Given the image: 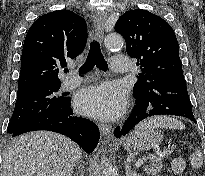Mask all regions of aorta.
Segmentation results:
<instances>
[{
  "label": "aorta",
  "instance_id": "762f6f07",
  "mask_svg": "<svg viewBox=\"0 0 205 176\" xmlns=\"http://www.w3.org/2000/svg\"><path fill=\"white\" fill-rule=\"evenodd\" d=\"M123 37L116 33H110L105 37V46L108 49H120L123 47ZM101 176H116L115 170L106 157L101 160Z\"/></svg>",
  "mask_w": 205,
  "mask_h": 176
}]
</instances>
